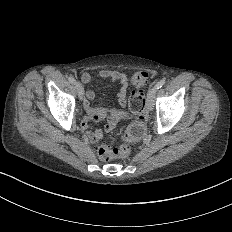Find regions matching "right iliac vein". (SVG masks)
<instances>
[{"label": "right iliac vein", "mask_w": 232, "mask_h": 232, "mask_svg": "<svg viewBox=\"0 0 232 232\" xmlns=\"http://www.w3.org/2000/svg\"><path fill=\"white\" fill-rule=\"evenodd\" d=\"M76 87H77V94L79 96V101H82L83 100V97H84V89H83V86H81L80 83H76Z\"/></svg>", "instance_id": "63e3f726"}]
</instances>
